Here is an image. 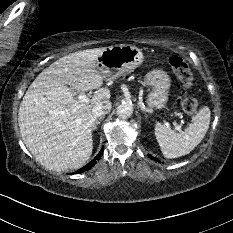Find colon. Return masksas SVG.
<instances>
[{
	"label": "colon",
	"mask_w": 233,
	"mask_h": 233,
	"mask_svg": "<svg viewBox=\"0 0 233 233\" xmlns=\"http://www.w3.org/2000/svg\"><path fill=\"white\" fill-rule=\"evenodd\" d=\"M168 63L181 83L183 90L179 97V103L186 113H195L199 107L198 101L187 93V89L193 84V75L187 62L180 56L173 55Z\"/></svg>",
	"instance_id": "obj_1"
}]
</instances>
